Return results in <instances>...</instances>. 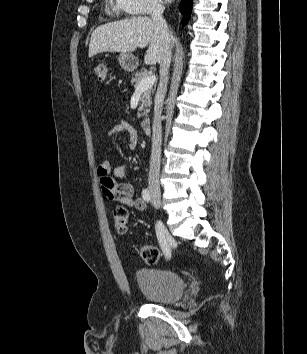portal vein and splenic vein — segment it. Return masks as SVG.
Returning <instances> with one entry per match:
<instances>
[{
  "label": "portal vein and splenic vein",
  "mask_w": 307,
  "mask_h": 354,
  "mask_svg": "<svg viewBox=\"0 0 307 354\" xmlns=\"http://www.w3.org/2000/svg\"><path fill=\"white\" fill-rule=\"evenodd\" d=\"M156 81L155 75L148 76L146 78H143L139 83L138 86L135 88L136 91L138 92H143L145 90H148L152 88Z\"/></svg>",
  "instance_id": "18ae733b"
}]
</instances>
